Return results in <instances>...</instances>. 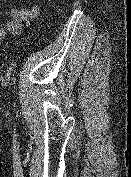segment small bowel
Listing matches in <instances>:
<instances>
[{
	"mask_svg": "<svg viewBox=\"0 0 131 177\" xmlns=\"http://www.w3.org/2000/svg\"><path fill=\"white\" fill-rule=\"evenodd\" d=\"M38 14L39 6L36 3H31L26 8H12L5 26H0V41L4 40L8 35L20 34L23 27L30 24Z\"/></svg>",
	"mask_w": 131,
	"mask_h": 177,
	"instance_id": "c3829d8e",
	"label": "small bowel"
}]
</instances>
